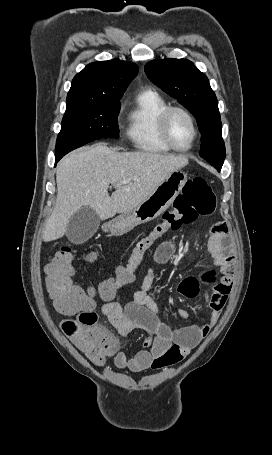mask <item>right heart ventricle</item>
Here are the masks:
<instances>
[{"label":"right heart ventricle","mask_w":272,"mask_h":455,"mask_svg":"<svg viewBox=\"0 0 272 455\" xmlns=\"http://www.w3.org/2000/svg\"><path fill=\"white\" fill-rule=\"evenodd\" d=\"M168 106L156 91H141L127 116L126 135L132 146L141 152L164 154L171 149L163 142L158 126L161 112Z\"/></svg>","instance_id":"1"}]
</instances>
